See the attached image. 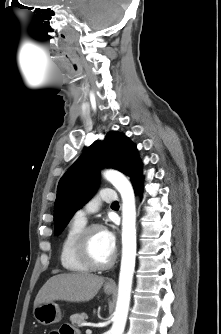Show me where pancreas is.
Here are the masks:
<instances>
[{
    "mask_svg": "<svg viewBox=\"0 0 221 334\" xmlns=\"http://www.w3.org/2000/svg\"><path fill=\"white\" fill-rule=\"evenodd\" d=\"M86 319L87 315L85 313L74 314L70 317V321L72 322V324L77 326L82 325Z\"/></svg>",
    "mask_w": 221,
    "mask_h": 334,
    "instance_id": "obj_1",
    "label": "pancreas"
}]
</instances>
